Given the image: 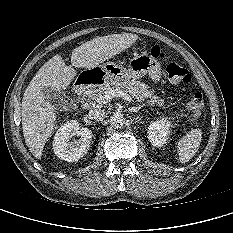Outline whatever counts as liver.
Masks as SVG:
<instances>
[{"instance_id": "obj_1", "label": "liver", "mask_w": 233, "mask_h": 233, "mask_svg": "<svg viewBox=\"0 0 233 233\" xmlns=\"http://www.w3.org/2000/svg\"><path fill=\"white\" fill-rule=\"evenodd\" d=\"M137 39L138 35L131 33L96 37L72 51V66L85 69L97 67L131 47ZM76 75L77 72L57 54L38 70L24 92L22 130L27 147L37 159H41L44 145L56 128L55 108L46 100L42 90L46 87L66 90Z\"/></svg>"}]
</instances>
